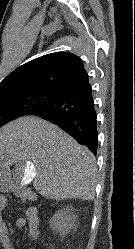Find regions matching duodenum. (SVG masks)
Instances as JSON below:
<instances>
[{"instance_id":"obj_1","label":"duodenum","mask_w":135,"mask_h":249,"mask_svg":"<svg viewBox=\"0 0 135 249\" xmlns=\"http://www.w3.org/2000/svg\"><path fill=\"white\" fill-rule=\"evenodd\" d=\"M22 196L28 199H34V194L27 190L22 191Z\"/></svg>"}]
</instances>
